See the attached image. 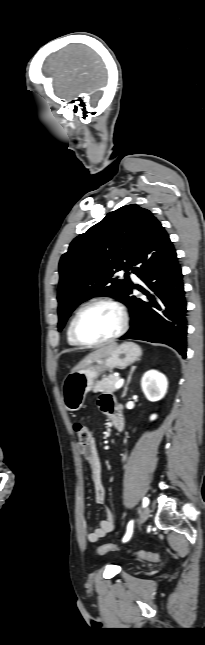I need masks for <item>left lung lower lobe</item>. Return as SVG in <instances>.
I'll return each instance as SVG.
<instances>
[{"label":"left lung lower lobe","mask_w":205,"mask_h":645,"mask_svg":"<svg viewBox=\"0 0 205 645\" xmlns=\"http://www.w3.org/2000/svg\"><path fill=\"white\" fill-rule=\"evenodd\" d=\"M132 272L149 288L143 290L131 282L123 303L131 313V327L120 339H138L164 343L176 349L183 358L187 351L186 299L183 275L169 235L154 219L141 238ZM141 290L145 300L132 296Z\"/></svg>","instance_id":"1"}]
</instances>
